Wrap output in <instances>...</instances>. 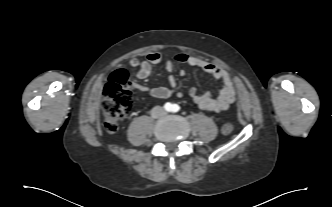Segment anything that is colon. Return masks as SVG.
Wrapping results in <instances>:
<instances>
[{
    "instance_id": "1",
    "label": "colon",
    "mask_w": 332,
    "mask_h": 207,
    "mask_svg": "<svg viewBox=\"0 0 332 207\" xmlns=\"http://www.w3.org/2000/svg\"><path fill=\"white\" fill-rule=\"evenodd\" d=\"M134 88L130 75L124 68L116 70L108 78L103 90L104 100L102 102L104 129L107 133H116L120 122L130 111ZM233 130L234 127L231 123H226L222 127L225 134H230Z\"/></svg>"
}]
</instances>
